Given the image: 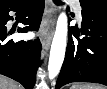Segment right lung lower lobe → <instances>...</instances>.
Wrapping results in <instances>:
<instances>
[{
  "label": "right lung lower lobe",
  "mask_w": 107,
  "mask_h": 89,
  "mask_svg": "<svg viewBox=\"0 0 107 89\" xmlns=\"http://www.w3.org/2000/svg\"><path fill=\"white\" fill-rule=\"evenodd\" d=\"M22 5H26V13L21 23L27 27L19 29V32L37 30L41 22L44 0H17L0 7V74L18 81L25 89H32L36 71L41 64L39 39L19 42L6 40L8 34L5 24L11 19L8 13L19 12Z\"/></svg>",
  "instance_id": "1"
}]
</instances>
